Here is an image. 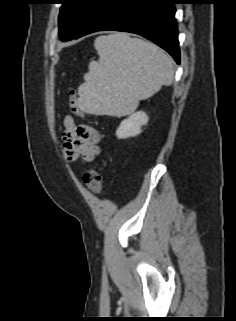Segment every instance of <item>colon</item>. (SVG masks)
<instances>
[{
    "label": "colon",
    "mask_w": 236,
    "mask_h": 321,
    "mask_svg": "<svg viewBox=\"0 0 236 321\" xmlns=\"http://www.w3.org/2000/svg\"><path fill=\"white\" fill-rule=\"evenodd\" d=\"M69 95V105L71 111L78 115L83 116L84 112L80 108L79 100L76 91L72 88L68 90ZM84 183L87 188L94 194H100L102 191V176L98 170L95 168L88 169L83 176Z\"/></svg>",
    "instance_id": "1"
}]
</instances>
